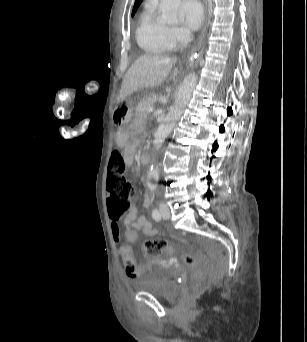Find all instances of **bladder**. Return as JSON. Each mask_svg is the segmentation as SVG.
Masks as SVG:
<instances>
[{"label": "bladder", "mask_w": 307, "mask_h": 342, "mask_svg": "<svg viewBox=\"0 0 307 342\" xmlns=\"http://www.w3.org/2000/svg\"><path fill=\"white\" fill-rule=\"evenodd\" d=\"M140 290L168 299L174 295L176 283L167 276L164 269L155 267L140 282Z\"/></svg>", "instance_id": "obj_1"}]
</instances>
